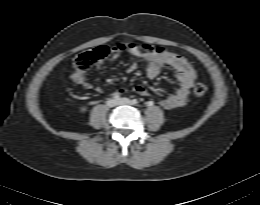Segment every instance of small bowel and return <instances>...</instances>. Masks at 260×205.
Masks as SVG:
<instances>
[{
  "instance_id": "obj_1",
  "label": "small bowel",
  "mask_w": 260,
  "mask_h": 205,
  "mask_svg": "<svg viewBox=\"0 0 260 205\" xmlns=\"http://www.w3.org/2000/svg\"><path fill=\"white\" fill-rule=\"evenodd\" d=\"M123 49L141 61L144 62V70L148 77L155 78L159 75L162 68L165 66H170L176 71V77L178 80V86L174 93L169 94L160 100L159 104L164 109H174L182 107L186 104L190 89L196 78V71L192 65L184 57L166 51L163 54H156L153 52L141 51L138 46L134 43L126 44ZM112 58L117 59L120 57L121 50L118 47H113ZM102 64L98 65L100 68ZM138 68L137 64H132L128 67V72H134ZM70 80L76 84L83 86L88 90H94L97 93L102 92L100 87H94L87 79L86 73L84 71L74 70L70 76ZM133 92L140 96H148L149 92L147 89L141 85L135 86L131 89ZM129 89L121 88L115 92V95L122 96L127 93Z\"/></svg>"
}]
</instances>
